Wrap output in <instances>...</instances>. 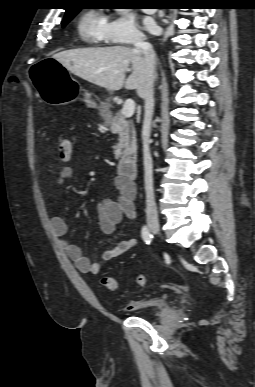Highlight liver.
<instances>
[{"mask_svg": "<svg viewBox=\"0 0 255 387\" xmlns=\"http://www.w3.org/2000/svg\"><path fill=\"white\" fill-rule=\"evenodd\" d=\"M53 59L74 75L110 92L123 87L138 92L145 85L144 57L131 47L71 49L56 53ZM129 70L131 74L126 78Z\"/></svg>", "mask_w": 255, "mask_h": 387, "instance_id": "liver-1", "label": "liver"}]
</instances>
